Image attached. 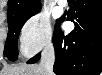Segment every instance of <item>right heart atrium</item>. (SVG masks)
Instances as JSON below:
<instances>
[{
	"mask_svg": "<svg viewBox=\"0 0 102 75\" xmlns=\"http://www.w3.org/2000/svg\"><path fill=\"white\" fill-rule=\"evenodd\" d=\"M50 21L42 14H33L19 31L20 49L25 56H32L52 43Z\"/></svg>",
	"mask_w": 102,
	"mask_h": 75,
	"instance_id": "d8ad5b80",
	"label": "right heart atrium"
}]
</instances>
